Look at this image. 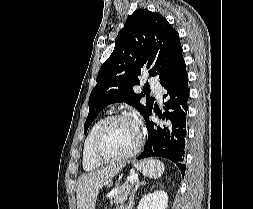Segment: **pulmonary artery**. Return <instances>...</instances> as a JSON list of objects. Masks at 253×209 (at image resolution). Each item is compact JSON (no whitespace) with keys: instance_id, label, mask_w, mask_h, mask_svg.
<instances>
[{"instance_id":"e3ab8cb5","label":"pulmonary artery","mask_w":253,"mask_h":209,"mask_svg":"<svg viewBox=\"0 0 253 209\" xmlns=\"http://www.w3.org/2000/svg\"><path fill=\"white\" fill-rule=\"evenodd\" d=\"M148 83L150 88L157 94L160 95L162 91L161 84L153 77L148 79Z\"/></svg>"}]
</instances>
